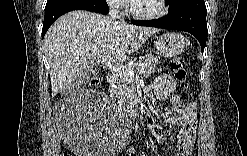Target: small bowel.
<instances>
[{
    "instance_id": "obj_1",
    "label": "small bowel",
    "mask_w": 247,
    "mask_h": 156,
    "mask_svg": "<svg viewBox=\"0 0 247 156\" xmlns=\"http://www.w3.org/2000/svg\"><path fill=\"white\" fill-rule=\"evenodd\" d=\"M177 84L168 75L158 76L146 89L149 97L166 100L176 115H170L166 110L162 113L163 121L179 127L176 155H191L195 142L196 105L193 102H183L175 94Z\"/></svg>"
}]
</instances>
